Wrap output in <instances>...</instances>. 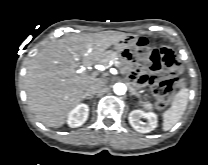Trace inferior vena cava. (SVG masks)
<instances>
[{"instance_id": "inferior-vena-cava-1", "label": "inferior vena cava", "mask_w": 208, "mask_h": 165, "mask_svg": "<svg viewBox=\"0 0 208 165\" xmlns=\"http://www.w3.org/2000/svg\"><path fill=\"white\" fill-rule=\"evenodd\" d=\"M104 86V82L101 79H96L93 81L87 88V93L94 94L96 93L100 88Z\"/></svg>"}]
</instances>
